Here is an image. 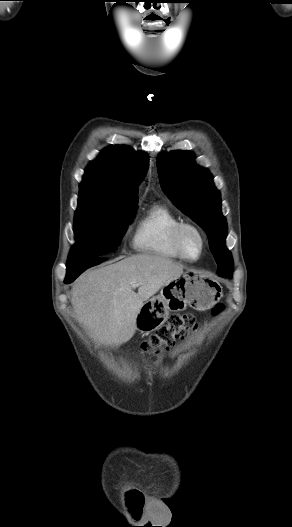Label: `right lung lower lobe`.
Wrapping results in <instances>:
<instances>
[{"label":"right lung lower lobe","instance_id":"obj_1","mask_svg":"<svg viewBox=\"0 0 292 527\" xmlns=\"http://www.w3.org/2000/svg\"><path fill=\"white\" fill-rule=\"evenodd\" d=\"M104 259L72 260L67 262L65 283L73 282L86 269L100 264Z\"/></svg>","mask_w":292,"mask_h":527}]
</instances>
